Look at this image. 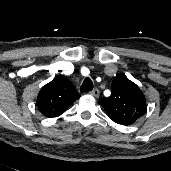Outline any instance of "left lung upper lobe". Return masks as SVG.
I'll use <instances>...</instances> for the list:
<instances>
[{
	"label": "left lung upper lobe",
	"instance_id": "left-lung-upper-lobe-1",
	"mask_svg": "<svg viewBox=\"0 0 171 171\" xmlns=\"http://www.w3.org/2000/svg\"><path fill=\"white\" fill-rule=\"evenodd\" d=\"M111 96L100 99L108 116L120 125H131L146 111V99L140 88L124 74L112 81Z\"/></svg>",
	"mask_w": 171,
	"mask_h": 171
}]
</instances>
